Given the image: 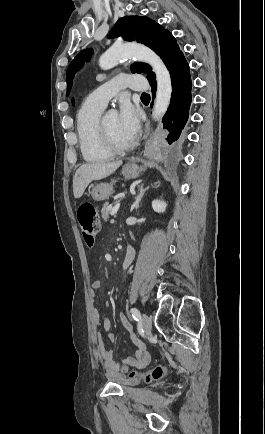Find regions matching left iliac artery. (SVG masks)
I'll list each match as a JSON object with an SVG mask.
<instances>
[{"mask_svg":"<svg viewBox=\"0 0 265 434\" xmlns=\"http://www.w3.org/2000/svg\"><path fill=\"white\" fill-rule=\"evenodd\" d=\"M132 317L136 320L139 321L141 319V314L139 312V310L137 308H131L130 310Z\"/></svg>","mask_w":265,"mask_h":434,"instance_id":"1","label":"left iliac artery"}]
</instances>
